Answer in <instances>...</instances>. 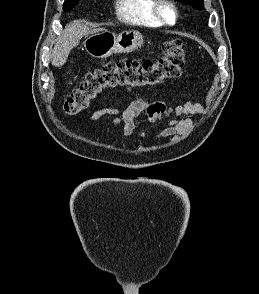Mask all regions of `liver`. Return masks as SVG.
Returning <instances> with one entry per match:
<instances>
[{"label": "liver", "mask_w": 259, "mask_h": 294, "mask_svg": "<svg viewBox=\"0 0 259 294\" xmlns=\"http://www.w3.org/2000/svg\"><path fill=\"white\" fill-rule=\"evenodd\" d=\"M97 31L100 29L92 30L80 20L69 23L52 50V65L55 67L64 65L70 51L79 44L81 38Z\"/></svg>", "instance_id": "1"}]
</instances>
